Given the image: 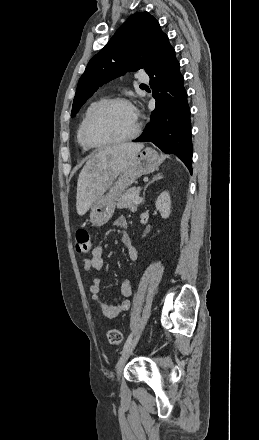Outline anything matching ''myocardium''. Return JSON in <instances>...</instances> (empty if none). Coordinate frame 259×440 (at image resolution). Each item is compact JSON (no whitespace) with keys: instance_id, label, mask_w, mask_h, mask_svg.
Wrapping results in <instances>:
<instances>
[{"instance_id":"myocardium-1","label":"myocardium","mask_w":259,"mask_h":440,"mask_svg":"<svg viewBox=\"0 0 259 440\" xmlns=\"http://www.w3.org/2000/svg\"><path fill=\"white\" fill-rule=\"evenodd\" d=\"M115 104H125L130 106L134 110L136 116V124L133 131L129 135L117 140L106 141V142L93 141L89 136V127L92 121L100 112ZM140 131H141V123L132 103L125 98L114 97V98L102 100L92 108V110L88 113V115L86 116L83 122L81 133H82V139L86 146H88L91 149H100V148L119 145L131 141L132 139L136 138L139 135Z\"/></svg>"}]
</instances>
